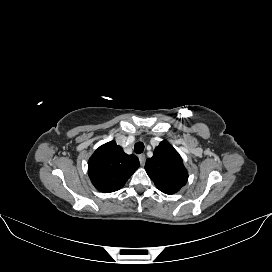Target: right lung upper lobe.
Wrapping results in <instances>:
<instances>
[{"mask_svg": "<svg viewBox=\"0 0 272 272\" xmlns=\"http://www.w3.org/2000/svg\"><path fill=\"white\" fill-rule=\"evenodd\" d=\"M138 167L139 159L135 155L124 153L115 141H110L89 159L88 175L97 190L109 193L122 188Z\"/></svg>", "mask_w": 272, "mask_h": 272, "instance_id": "obj_1", "label": "right lung upper lobe"}]
</instances>
